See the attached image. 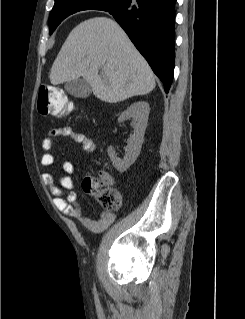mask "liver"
<instances>
[{"mask_svg":"<svg viewBox=\"0 0 245 319\" xmlns=\"http://www.w3.org/2000/svg\"><path fill=\"white\" fill-rule=\"evenodd\" d=\"M49 77L53 85L83 77L94 95L109 103L148 94L156 85L150 66L124 30L102 16L87 19L70 32Z\"/></svg>","mask_w":245,"mask_h":319,"instance_id":"obj_1","label":"liver"}]
</instances>
